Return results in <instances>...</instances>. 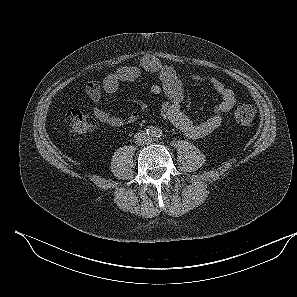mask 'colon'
Masks as SVG:
<instances>
[{
  "label": "colon",
  "instance_id": "colon-1",
  "mask_svg": "<svg viewBox=\"0 0 297 297\" xmlns=\"http://www.w3.org/2000/svg\"><path fill=\"white\" fill-rule=\"evenodd\" d=\"M256 116V108L252 104L237 103L232 108V118L240 126L251 124ZM66 120L70 125L72 139H82L92 134L97 128L96 120L77 109H70L66 114Z\"/></svg>",
  "mask_w": 297,
  "mask_h": 297
}]
</instances>
